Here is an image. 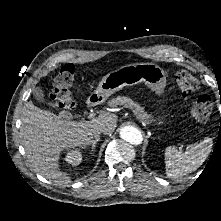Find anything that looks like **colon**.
<instances>
[{"label":"colon","mask_w":221,"mask_h":221,"mask_svg":"<svg viewBox=\"0 0 221 221\" xmlns=\"http://www.w3.org/2000/svg\"><path fill=\"white\" fill-rule=\"evenodd\" d=\"M74 74V65L66 64L60 69L53 81L51 99L59 108L64 110H72L75 107V101L71 93ZM175 79L184 100H187L190 94L195 92L199 87L197 79L186 71H179ZM212 109V101L207 95L198 97L188 107L191 117L197 122L206 121L210 117Z\"/></svg>","instance_id":"5ec220e1"}]
</instances>
